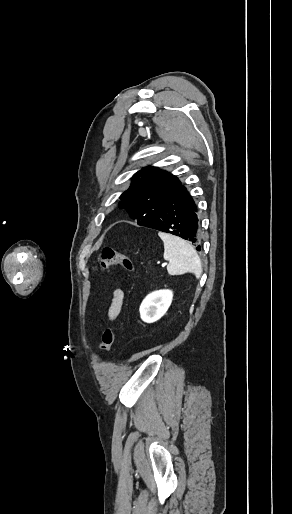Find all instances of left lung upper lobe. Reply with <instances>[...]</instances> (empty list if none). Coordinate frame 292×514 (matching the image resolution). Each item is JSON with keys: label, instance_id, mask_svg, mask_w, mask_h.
<instances>
[{"label": "left lung upper lobe", "instance_id": "5c2ea615", "mask_svg": "<svg viewBox=\"0 0 292 514\" xmlns=\"http://www.w3.org/2000/svg\"><path fill=\"white\" fill-rule=\"evenodd\" d=\"M131 180L129 189L120 197V208H125L141 226L155 219L182 186L176 176L153 166L142 168Z\"/></svg>", "mask_w": 292, "mask_h": 514}]
</instances>
